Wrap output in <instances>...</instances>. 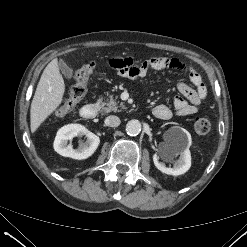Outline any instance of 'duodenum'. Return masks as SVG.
<instances>
[{
	"label": "duodenum",
	"instance_id": "duodenum-1",
	"mask_svg": "<svg viewBox=\"0 0 247 247\" xmlns=\"http://www.w3.org/2000/svg\"><path fill=\"white\" fill-rule=\"evenodd\" d=\"M98 105L96 103H90L84 105L80 110V115L84 119H93L97 116Z\"/></svg>",
	"mask_w": 247,
	"mask_h": 247
}]
</instances>
